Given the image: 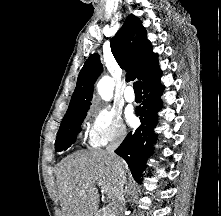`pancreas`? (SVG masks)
Masks as SVG:
<instances>
[{
  "mask_svg": "<svg viewBox=\"0 0 221 216\" xmlns=\"http://www.w3.org/2000/svg\"><path fill=\"white\" fill-rule=\"evenodd\" d=\"M104 216H113V214L112 213H107L106 215H104Z\"/></svg>",
  "mask_w": 221,
  "mask_h": 216,
  "instance_id": "1",
  "label": "pancreas"
}]
</instances>
